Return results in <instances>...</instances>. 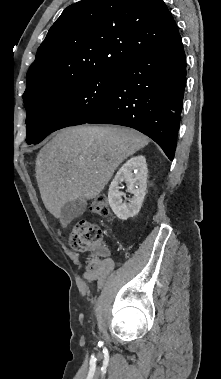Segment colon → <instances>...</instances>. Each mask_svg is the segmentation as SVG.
I'll list each match as a JSON object with an SVG mask.
<instances>
[{
  "label": "colon",
  "instance_id": "colon-1",
  "mask_svg": "<svg viewBox=\"0 0 221 379\" xmlns=\"http://www.w3.org/2000/svg\"><path fill=\"white\" fill-rule=\"evenodd\" d=\"M90 213L95 216L106 217L110 214V208L106 197L99 196L90 206ZM102 229L87 219L79 220L69 235L70 246L79 251L95 250L102 242ZM98 262L92 259L89 269L94 270Z\"/></svg>",
  "mask_w": 221,
  "mask_h": 379
}]
</instances>
